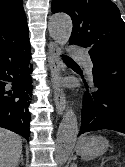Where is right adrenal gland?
Wrapping results in <instances>:
<instances>
[{"mask_svg": "<svg viewBox=\"0 0 125 167\" xmlns=\"http://www.w3.org/2000/svg\"><path fill=\"white\" fill-rule=\"evenodd\" d=\"M20 163H21L22 165H24L23 155L20 156V159H19V161H18L16 167H18Z\"/></svg>", "mask_w": 125, "mask_h": 167, "instance_id": "right-adrenal-gland-1", "label": "right adrenal gland"}]
</instances>
